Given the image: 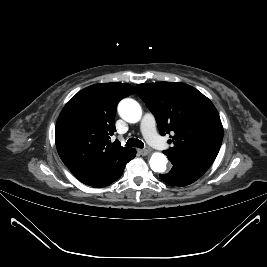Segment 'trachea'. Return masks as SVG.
<instances>
[{
	"label": "trachea",
	"mask_w": 267,
	"mask_h": 267,
	"mask_svg": "<svg viewBox=\"0 0 267 267\" xmlns=\"http://www.w3.org/2000/svg\"><path fill=\"white\" fill-rule=\"evenodd\" d=\"M126 146L143 148L144 147V143L139 139L129 138L128 141L126 142Z\"/></svg>",
	"instance_id": "1"
}]
</instances>
